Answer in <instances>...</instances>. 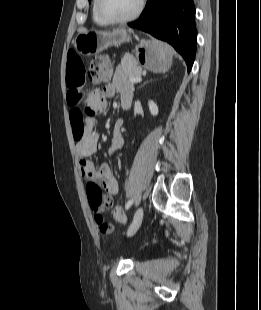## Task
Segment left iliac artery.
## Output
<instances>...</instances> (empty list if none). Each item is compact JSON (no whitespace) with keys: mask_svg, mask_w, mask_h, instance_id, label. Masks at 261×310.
<instances>
[{"mask_svg":"<svg viewBox=\"0 0 261 310\" xmlns=\"http://www.w3.org/2000/svg\"><path fill=\"white\" fill-rule=\"evenodd\" d=\"M132 204H133V200H129L125 205L126 210L129 209Z\"/></svg>","mask_w":261,"mask_h":310,"instance_id":"left-iliac-artery-1","label":"left iliac artery"}]
</instances>
